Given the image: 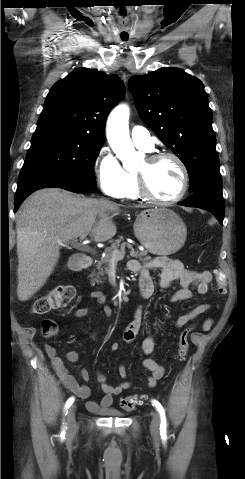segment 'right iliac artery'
<instances>
[{"label":"right iliac artery","instance_id":"82829eb1","mask_svg":"<svg viewBox=\"0 0 245 479\" xmlns=\"http://www.w3.org/2000/svg\"><path fill=\"white\" fill-rule=\"evenodd\" d=\"M74 400H75L74 397H70V398L66 401L65 406H64V413H65V415L67 414V411H68L69 407L73 404ZM65 434H66L65 427L63 426L61 435H65Z\"/></svg>","mask_w":245,"mask_h":479}]
</instances>
